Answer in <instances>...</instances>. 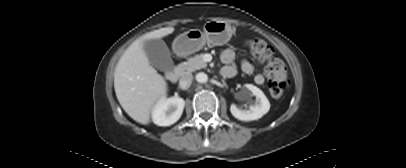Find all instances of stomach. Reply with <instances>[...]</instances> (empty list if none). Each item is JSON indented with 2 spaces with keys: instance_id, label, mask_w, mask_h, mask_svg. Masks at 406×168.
Listing matches in <instances>:
<instances>
[{
  "instance_id": "stomach-1",
  "label": "stomach",
  "mask_w": 406,
  "mask_h": 168,
  "mask_svg": "<svg viewBox=\"0 0 406 168\" xmlns=\"http://www.w3.org/2000/svg\"><path fill=\"white\" fill-rule=\"evenodd\" d=\"M232 36L230 24L213 20L204 24L203 31L191 29L179 35L173 42V51L180 56H187L204 47L206 43L215 46L227 43Z\"/></svg>"
}]
</instances>
